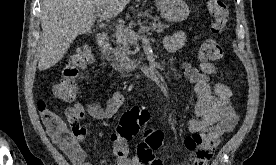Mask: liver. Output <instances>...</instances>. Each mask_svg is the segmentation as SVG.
Here are the masks:
<instances>
[{
  "mask_svg": "<svg viewBox=\"0 0 276 165\" xmlns=\"http://www.w3.org/2000/svg\"><path fill=\"white\" fill-rule=\"evenodd\" d=\"M131 0H42V36L38 49V68L49 69L67 53L79 34L91 31L95 14L101 20L116 17Z\"/></svg>",
  "mask_w": 276,
  "mask_h": 165,
  "instance_id": "obj_1",
  "label": "liver"
}]
</instances>
